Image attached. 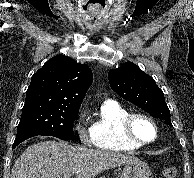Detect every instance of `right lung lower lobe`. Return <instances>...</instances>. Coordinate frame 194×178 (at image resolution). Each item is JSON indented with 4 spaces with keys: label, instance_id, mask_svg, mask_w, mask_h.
<instances>
[{
    "label": "right lung lower lobe",
    "instance_id": "1",
    "mask_svg": "<svg viewBox=\"0 0 194 178\" xmlns=\"http://www.w3.org/2000/svg\"><path fill=\"white\" fill-rule=\"evenodd\" d=\"M33 136H36V135H27V136L17 137L14 141L13 148H15L22 141H24L30 137H33Z\"/></svg>",
    "mask_w": 194,
    "mask_h": 178
}]
</instances>
